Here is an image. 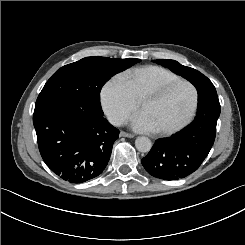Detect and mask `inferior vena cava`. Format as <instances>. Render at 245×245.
<instances>
[{
	"instance_id": "obj_1",
	"label": "inferior vena cava",
	"mask_w": 245,
	"mask_h": 245,
	"mask_svg": "<svg viewBox=\"0 0 245 245\" xmlns=\"http://www.w3.org/2000/svg\"><path fill=\"white\" fill-rule=\"evenodd\" d=\"M108 120L112 125H114L116 127H121V126L125 125L127 122L126 116H124L122 114H113V115L108 117Z\"/></svg>"
}]
</instances>
